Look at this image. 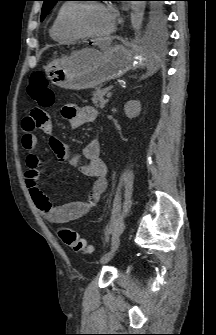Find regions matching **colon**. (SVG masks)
<instances>
[{
  "label": "colon",
  "instance_id": "5ec220e1",
  "mask_svg": "<svg viewBox=\"0 0 216 335\" xmlns=\"http://www.w3.org/2000/svg\"><path fill=\"white\" fill-rule=\"evenodd\" d=\"M27 93L36 105H40V108H50L55 102V93L49 87L47 79L41 71H35L30 75ZM57 234L65 245L76 252L90 254L93 251L92 246L68 226L59 225Z\"/></svg>",
  "mask_w": 216,
  "mask_h": 335
}]
</instances>
